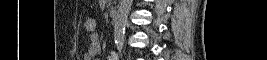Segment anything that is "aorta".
Wrapping results in <instances>:
<instances>
[{
  "instance_id": "aorta-1",
  "label": "aorta",
  "mask_w": 267,
  "mask_h": 60,
  "mask_svg": "<svg viewBox=\"0 0 267 60\" xmlns=\"http://www.w3.org/2000/svg\"><path fill=\"white\" fill-rule=\"evenodd\" d=\"M133 0H121L114 26V40L118 49H122L124 43L125 26Z\"/></svg>"
}]
</instances>
